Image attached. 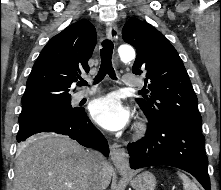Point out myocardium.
I'll list each match as a JSON object with an SVG mask.
<instances>
[{
  "instance_id": "myocardium-1",
  "label": "myocardium",
  "mask_w": 221,
  "mask_h": 190,
  "mask_svg": "<svg viewBox=\"0 0 221 190\" xmlns=\"http://www.w3.org/2000/svg\"><path fill=\"white\" fill-rule=\"evenodd\" d=\"M145 129V124L143 122H139L137 125H136V131L137 132H142L143 130Z\"/></svg>"
}]
</instances>
